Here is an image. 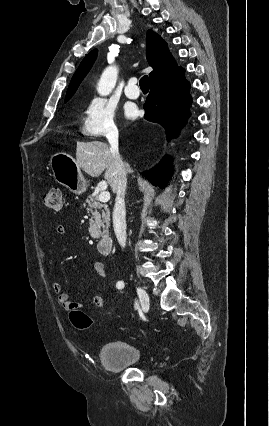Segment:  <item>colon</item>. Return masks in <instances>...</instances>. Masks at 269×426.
<instances>
[{"mask_svg":"<svg viewBox=\"0 0 269 426\" xmlns=\"http://www.w3.org/2000/svg\"><path fill=\"white\" fill-rule=\"evenodd\" d=\"M46 207L54 210L61 208V190L58 187L51 188L44 196ZM70 320L78 330H88L92 327V319L82 310L73 308L70 312Z\"/></svg>","mask_w":269,"mask_h":426,"instance_id":"1","label":"colon"}]
</instances>
